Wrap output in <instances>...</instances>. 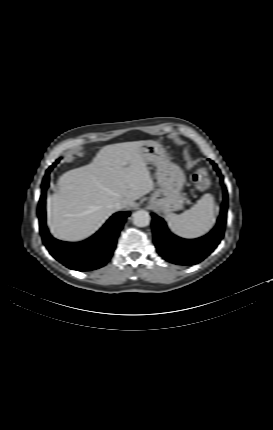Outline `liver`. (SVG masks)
Returning a JSON list of instances; mask_svg holds the SVG:
<instances>
[{
  "label": "liver",
  "instance_id": "6515ba94",
  "mask_svg": "<svg viewBox=\"0 0 273 430\" xmlns=\"http://www.w3.org/2000/svg\"><path fill=\"white\" fill-rule=\"evenodd\" d=\"M144 141L104 146L93 161L64 173L58 190L47 199L48 227L63 241L78 242L94 234L127 200L126 208L154 189L140 153Z\"/></svg>",
  "mask_w": 273,
  "mask_h": 430
}]
</instances>
